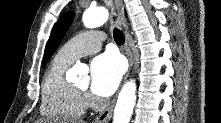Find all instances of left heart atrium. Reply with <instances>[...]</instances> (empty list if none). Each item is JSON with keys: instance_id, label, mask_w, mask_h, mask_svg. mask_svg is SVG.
<instances>
[{"instance_id": "obj_1", "label": "left heart atrium", "mask_w": 221, "mask_h": 123, "mask_svg": "<svg viewBox=\"0 0 221 123\" xmlns=\"http://www.w3.org/2000/svg\"><path fill=\"white\" fill-rule=\"evenodd\" d=\"M91 91L102 97L110 96L117 88L124 72L122 59L111 52L95 57L90 65Z\"/></svg>"}]
</instances>
